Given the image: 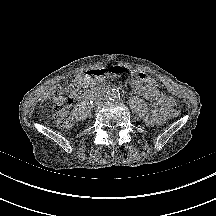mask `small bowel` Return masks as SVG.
<instances>
[{
	"label": "small bowel",
	"mask_w": 216,
	"mask_h": 216,
	"mask_svg": "<svg viewBox=\"0 0 216 216\" xmlns=\"http://www.w3.org/2000/svg\"><path fill=\"white\" fill-rule=\"evenodd\" d=\"M129 82L130 86L135 91L153 101L155 104L153 110L147 115L146 122L151 125L161 123L170 109L174 106V98L163 94L158 89L156 80L144 73L133 75ZM69 89L73 97L78 96L79 91L76 86L71 85L69 86Z\"/></svg>",
	"instance_id": "c3829d8e"
}]
</instances>
